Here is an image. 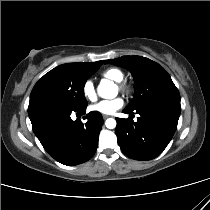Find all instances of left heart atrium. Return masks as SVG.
<instances>
[{
	"instance_id": "obj_1",
	"label": "left heart atrium",
	"mask_w": 210,
	"mask_h": 210,
	"mask_svg": "<svg viewBox=\"0 0 210 210\" xmlns=\"http://www.w3.org/2000/svg\"><path fill=\"white\" fill-rule=\"evenodd\" d=\"M123 100L120 97H116L110 100L99 101L89 107L93 112H97L103 115H111L123 106Z\"/></svg>"
}]
</instances>
